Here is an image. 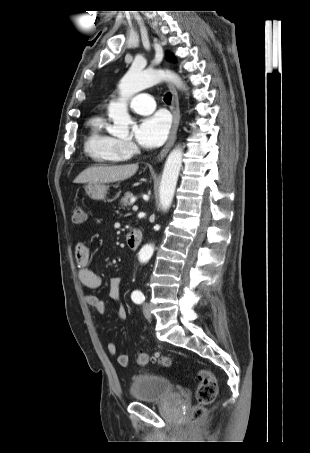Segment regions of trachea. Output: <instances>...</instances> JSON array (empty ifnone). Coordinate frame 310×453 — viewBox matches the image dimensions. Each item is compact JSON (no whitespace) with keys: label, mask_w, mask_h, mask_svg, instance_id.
<instances>
[{"label":"trachea","mask_w":310,"mask_h":453,"mask_svg":"<svg viewBox=\"0 0 310 453\" xmlns=\"http://www.w3.org/2000/svg\"><path fill=\"white\" fill-rule=\"evenodd\" d=\"M171 97H172L171 93H167L165 95V97H164L165 103L170 104L171 103Z\"/></svg>","instance_id":"3493384b"}]
</instances>
